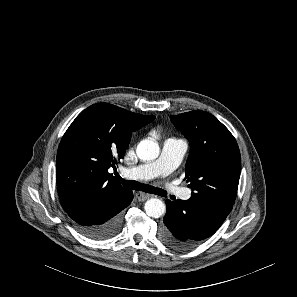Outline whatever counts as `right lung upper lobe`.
I'll use <instances>...</instances> for the list:
<instances>
[{"label":"right lung upper lobe","mask_w":297,"mask_h":297,"mask_svg":"<svg viewBox=\"0 0 297 297\" xmlns=\"http://www.w3.org/2000/svg\"><path fill=\"white\" fill-rule=\"evenodd\" d=\"M154 118L108 103L91 105L75 118L62 137L56 159L59 197L67 213L89 196L128 190L108 169L124 158L132 132Z\"/></svg>","instance_id":"obj_1"}]
</instances>
